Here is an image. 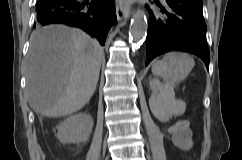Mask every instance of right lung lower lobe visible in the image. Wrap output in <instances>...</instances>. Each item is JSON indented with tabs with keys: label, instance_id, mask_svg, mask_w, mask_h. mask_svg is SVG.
I'll use <instances>...</instances> for the list:
<instances>
[{
	"label": "right lung lower lobe",
	"instance_id": "98d812e1",
	"mask_svg": "<svg viewBox=\"0 0 242 160\" xmlns=\"http://www.w3.org/2000/svg\"><path fill=\"white\" fill-rule=\"evenodd\" d=\"M36 11L39 24L78 27L101 45L116 18L114 0H38Z\"/></svg>",
	"mask_w": 242,
	"mask_h": 160
}]
</instances>
